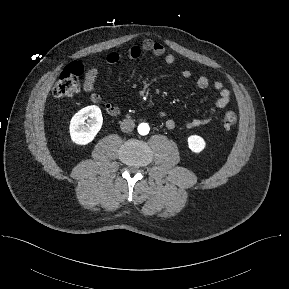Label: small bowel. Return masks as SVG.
I'll return each mask as SVG.
<instances>
[{
  "instance_id": "c3829d8e",
  "label": "small bowel",
  "mask_w": 289,
  "mask_h": 289,
  "mask_svg": "<svg viewBox=\"0 0 289 289\" xmlns=\"http://www.w3.org/2000/svg\"><path fill=\"white\" fill-rule=\"evenodd\" d=\"M142 51L149 52L156 57L162 58L167 65H172L175 62V57L166 52L164 45L152 39L144 40L141 46H131L125 53L111 52L107 55L106 62L108 65H115L124 57L130 60H136L140 57ZM181 74L184 78H190L192 75L191 71L188 69H184ZM97 77L98 70L96 68H91L86 72L83 82L84 91L89 93L90 99L93 103L102 104L108 114L118 115L120 113L119 106L103 100L100 94L95 91ZM196 85L201 89H206L211 86L218 92L219 96L215 101L214 106L207 114L201 117L193 118L185 123V127L187 129L197 128L209 124L214 119L217 109L224 108L230 103L231 93L224 87L222 82H211L206 75L201 74L196 78ZM157 115L164 118L166 117V112L164 110H157ZM166 127L170 130L174 129L176 127L175 120L167 119Z\"/></svg>"
}]
</instances>
